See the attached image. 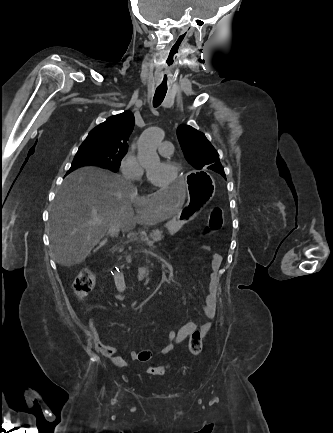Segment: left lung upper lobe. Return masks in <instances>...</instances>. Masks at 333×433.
<instances>
[{"mask_svg":"<svg viewBox=\"0 0 333 433\" xmlns=\"http://www.w3.org/2000/svg\"><path fill=\"white\" fill-rule=\"evenodd\" d=\"M177 137L185 158L193 167L202 169L205 166L219 173L224 172L217 151L203 133L191 126L180 125Z\"/></svg>","mask_w":333,"mask_h":433,"instance_id":"5c2ea615","label":"left lung upper lobe"}]
</instances>
